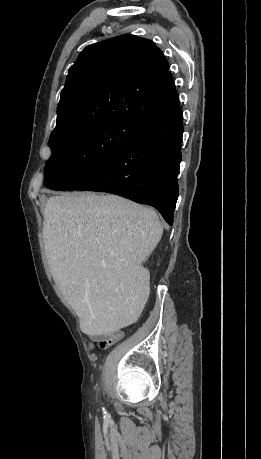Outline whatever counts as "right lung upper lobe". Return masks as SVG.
<instances>
[{"label":"right lung upper lobe","mask_w":261,"mask_h":459,"mask_svg":"<svg viewBox=\"0 0 261 459\" xmlns=\"http://www.w3.org/2000/svg\"><path fill=\"white\" fill-rule=\"evenodd\" d=\"M178 105L162 51L149 39L122 35L86 47L70 67L50 137L116 120L146 125Z\"/></svg>","instance_id":"cb5924a9"}]
</instances>
